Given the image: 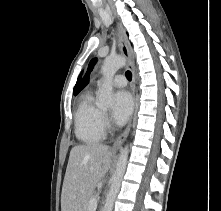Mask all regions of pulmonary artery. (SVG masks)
Returning <instances> with one entry per match:
<instances>
[{
    "label": "pulmonary artery",
    "mask_w": 221,
    "mask_h": 211,
    "mask_svg": "<svg viewBox=\"0 0 221 211\" xmlns=\"http://www.w3.org/2000/svg\"><path fill=\"white\" fill-rule=\"evenodd\" d=\"M101 81L99 80L98 83ZM112 83L116 87H124L127 83L126 78L123 75H117L113 78Z\"/></svg>",
    "instance_id": "1"
}]
</instances>
